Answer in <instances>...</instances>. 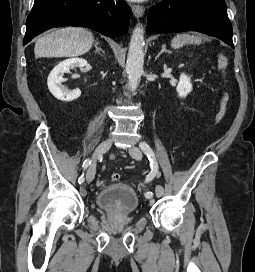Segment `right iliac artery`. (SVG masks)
I'll use <instances>...</instances> for the list:
<instances>
[{
	"label": "right iliac artery",
	"instance_id": "1",
	"mask_svg": "<svg viewBox=\"0 0 255 272\" xmlns=\"http://www.w3.org/2000/svg\"><path fill=\"white\" fill-rule=\"evenodd\" d=\"M92 160L90 158L86 159L84 162H83V169H87V167L91 164ZM84 182V174H82L79 179H78V183L79 184H82Z\"/></svg>",
	"mask_w": 255,
	"mask_h": 272
}]
</instances>
